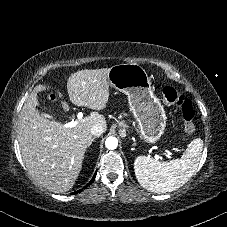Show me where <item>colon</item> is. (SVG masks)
I'll use <instances>...</instances> for the list:
<instances>
[{
	"mask_svg": "<svg viewBox=\"0 0 227 227\" xmlns=\"http://www.w3.org/2000/svg\"><path fill=\"white\" fill-rule=\"evenodd\" d=\"M163 102L169 106H177L183 120L185 132L192 133L195 129L193 123L194 110L192 103L185 99L175 88L167 86L162 90Z\"/></svg>",
	"mask_w": 227,
	"mask_h": 227,
	"instance_id": "5ec220e1",
	"label": "colon"
}]
</instances>
